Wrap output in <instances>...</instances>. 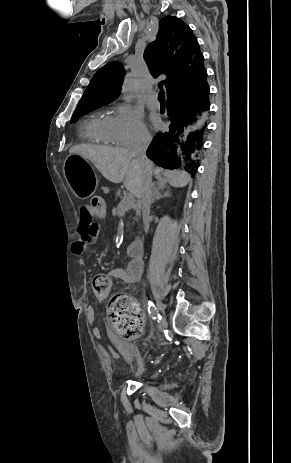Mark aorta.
Wrapping results in <instances>:
<instances>
[{"label": "aorta", "instance_id": "aorta-1", "mask_svg": "<svg viewBox=\"0 0 291 463\" xmlns=\"http://www.w3.org/2000/svg\"><path fill=\"white\" fill-rule=\"evenodd\" d=\"M136 89V80L129 76L123 83L122 93L125 102L129 103L134 98V93Z\"/></svg>", "mask_w": 291, "mask_h": 463}]
</instances>
